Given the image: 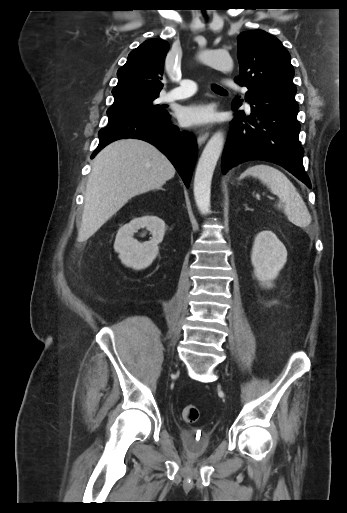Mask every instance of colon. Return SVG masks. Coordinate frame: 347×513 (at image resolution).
<instances>
[{
	"label": "colon",
	"instance_id": "1",
	"mask_svg": "<svg viewBox=\"0 0 347 513\" xmlns=\"http://www.w3.org/2000/svg\"><path fill=\"white\" fill-rule=\"evenodd\" d=\"M182 417L187 423H194L200 417L199 409L192 404H187L182 408Z\"/></svg>",
	"mask_w": 347,
	"mask_h": 513
}]
</instances>
